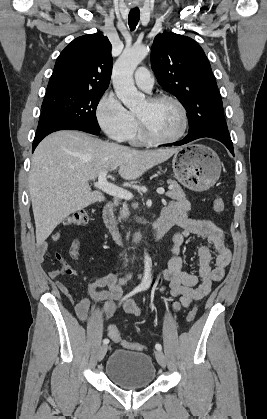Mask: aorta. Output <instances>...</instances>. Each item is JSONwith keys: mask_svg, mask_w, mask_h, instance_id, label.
<instances>
[{"mask_svg": "<svg viewBox=\"0 0 267 419\" xmlns=\"http://www.w3.org/2000/svg\"><path fill=\"white\" fill-rule=\"evenodd\" d=\"M148 52L149 49L143 45L125 49L113 67L112 80L116 95L130 110L138 108L145 102V95L138 92L134 85L133 73ZM151 283V258L145 253L141 286L148 288Z\"/></svg>", "mask_w": 267, "mask_h": 419, "instance_id": "obj_1", "label": "aorta"}]
</instances>
